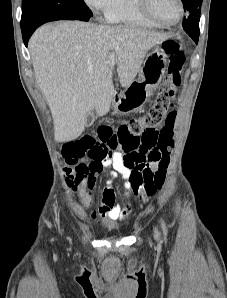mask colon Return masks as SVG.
Segmentation results:
<instances>
[{
    "mask_svg": "<svg viewBox=\"0 0 227 298\" xmlns=\"http://www.w3.org/2000/svg\"><path fill=\"white\" fill-rule=\"evenodd\" d=\"M162 50L169 59V77L162 84L147 112L119 125H100L95 130L97 142H107L110 150L140 151L149 159L158 161L159 171L150 173V178H154L151 187L154 193L161 189L164 183V169L169 163V154L174 147L172 129L175 113L169 110L172 98L177 96L185 62L184 48L180 42L168 40L163 44Z\"/></svg>",
    "mask_w": 227,
    "mask_h": 298,
    "instance_id": "1",
    "label": "colon"
}]
</instances>
